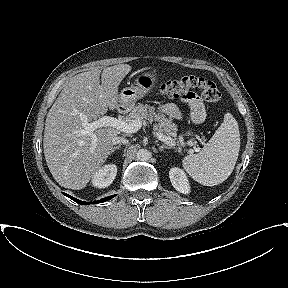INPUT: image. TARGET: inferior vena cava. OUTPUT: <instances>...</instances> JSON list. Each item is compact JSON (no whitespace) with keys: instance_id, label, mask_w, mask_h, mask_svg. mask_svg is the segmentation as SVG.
I'll list each match as a JSON object with an SVG mask.
<instances>
[{"instance_id":"1","label":"inferior vena cava","mask_w":288,"mask_h":288,"mask_svg":"<svg viewBox=\"0 0 288 288\" xmlns=\"http://www.w3.org/2000/svg\"><path fill=\"white\" fill-rule=\"evenodd\" d=\"M112 143L114 144V145H116V144H126V143H128V140L126 139V138H124V137H120V136H115L114 138H113V140H112Z\"/></svg>"}]
</instances>
